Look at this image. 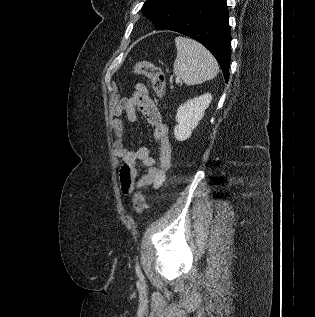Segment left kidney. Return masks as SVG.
Masks as SVG:
<instances>
[{"label": "left kidney", "instance_id": "5707ae66", "mask_svg": "<svg viewBox=\"0 0 315 317\" xmlns=\"http://www.w3.org/2000/svg\"><path fill=\"white\" fill-rule=\"evenodd\" d=\"M212 95L205 93L199 97L188 100L177 109L176 121L174 128V136L178 141H185L190 138L193 129H195L199 121L203 118L205 110L211 103Z\"/></svg>", "mask_w": 315, "mask_h": 317}]
</instances>
